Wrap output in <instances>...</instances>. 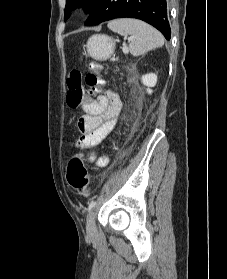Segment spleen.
Wrapping results in <instances>:
<instances>
[{
    "label": "spleen",
    "mask_w": 227,
    "mask_h": 279,
    "mask_svg": "<svg viewBox=\"0 0 227 279\" xmlns=\"http://www.w3.org/2000/svg\"><path fill=\"white\" fill-rule=\"evenodd\" d=\"M108 28L120 35H131L129 51L133 56L142 55L164 45L162 34L147 23L137 19H117Z\"/></svg>",
    "instance_id": "3e777b00"
}]
</instances>
